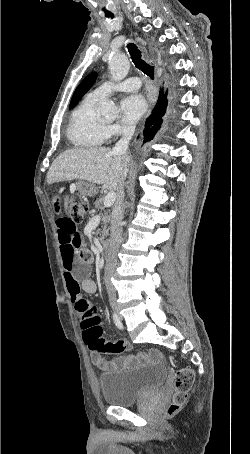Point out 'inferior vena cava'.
<instances>
[{
	"instance_id": "602c4592",
	"label": "inferior vena cava",
	"mask_w": 250,
	"mask_h": 454,
	"mask_svg": "<svg viewBox=\"0 0 250 454\" xmlns=\"http://www.w3.org/2000/svg\"><path fill=\"white\" fill-rule=\"evenodd\" d=\"M135 127L128 126L123 129L122 138L116 143L112 152L127 157L129 142L134 134ZM124 190L121 186L118 191V200L113 210V216L110 227V242L107 249L106 265L104 280L111 305L116 304V291L111 283V277L117 265V252L122 241L123 228L122 220L124 218Z\"/></svg>"
}]
</instances>
